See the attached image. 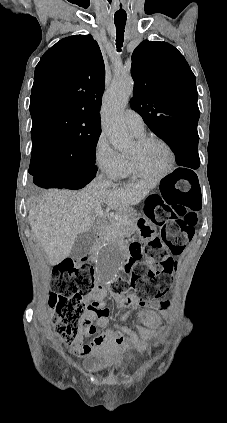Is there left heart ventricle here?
<instances>
[{"label": "left heart ventricle", "mask_w": 227, "mask_h": 423, "mask_svg": "<svg viewBox=\"0 0 227 423\" xmlns=\"http://www.w3.org/2000/svg\"><path fill=\"white\" fill-rule=\"evenodd\" d=\"M128 152L134 153L140 168L150 174L162 172L169 160L166 149L156 141L141 148H137L134 143Z\"/></svg>", "instance_id": "1"}]
</instances>
